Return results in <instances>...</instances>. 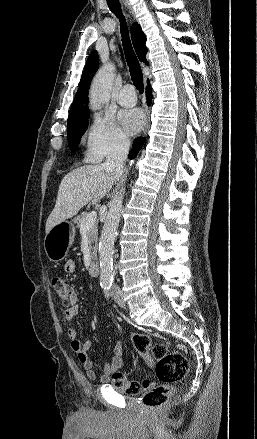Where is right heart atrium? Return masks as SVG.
Masks as SVG:
<instances>
[{"label": "right heart atrium", "mask_w": 257, "mask_h": 439, "mask_svg": "<svg viewBox=\"0 0 257 439\" xmlns=\"http://www.w3.org/2000/svg\"><path fill=\"white\" fill-rule=\"evenodd\" d=\"M128 138L111 117L95 115L84 135V158L90 162H100L106 157L122 152Z\"/></svg>", "instance_id": "obj_1"}]
</instances>
